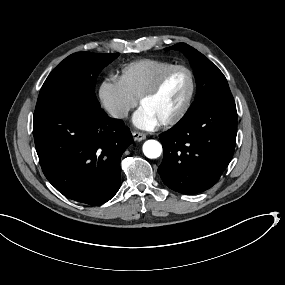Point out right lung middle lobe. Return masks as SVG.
<instances>
[{
	"label": "right lung middle lobe",
	"mask_w": 285,
	"mask_h": 285,
	"mask_svg": "<svg viewBox=\"0 0 285 285\" xmlns=\"http://www.w3.org/2000/svg\"><path fill=\"white\" fill-rule=\"evenodd\" d=\"M118 56L88 52L68 56L44 82L34 114L61 103H77L100 109L95 95V81L101 70Z\"/></svg>",
	"instance_id": "obj_1"
}]
</instances>
